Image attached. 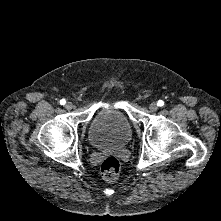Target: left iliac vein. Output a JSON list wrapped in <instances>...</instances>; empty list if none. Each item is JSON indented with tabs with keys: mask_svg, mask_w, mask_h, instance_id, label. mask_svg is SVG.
<instances>
[{
	"mask_svg": "<svg viewBox=\"0 0 221 221\" xmlns=\"http://www.w3.org/2000/svg\"><path fill=\"white\" fill-rule=\"evenodd\" d=\"M149 109L151 111H156L158 109V105L155 103V102H152L150 105H149Z\"/></svg>",
	"mask_w": 221,
	"mask_h": 221,
	"instance_id": "1",
	"label": "left iliac vein"
}]
</instances>
